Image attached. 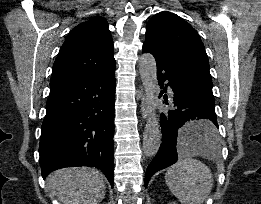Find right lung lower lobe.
<instances>
[{"label": "right lung lower lobe", "mask_w": 261, "mask_h": 204, "mask_svg": "<svg viewBox=\"0 0 261 204\" xmlns=\"http://www.w3.org/2000/svg\"><path fill=\"white\" fill-rule=\"evenodd\" d=\"M115 65L50 86L39 146L42 176L72 166L102 170L113 186Z\"/></svg>", "instance_id": "98d812e1"}]
</instances>
